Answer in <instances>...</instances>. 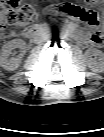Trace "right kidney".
Here are the masks:
<instances>
[{
    "mask_svg": "<svg viewBox=\"0 0 104 137\" xmlns=\"http://www.w3.org/2000/svg\"><path fill=\"white\" fill-rule=\"evenodd\" d=\"M16 48H20L22 52H25L26 43L22 39H13L3 45L0 51V66L5 70H16L20 65V57H10L12 51Z\"/></svg>",
    "mask_w": 104,
    "mask_h": 137,
    "instance_id": "ca27d5eb",
    "label": "right kidney"
}]
</instances>
